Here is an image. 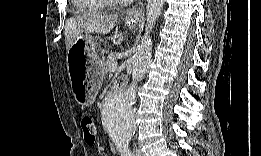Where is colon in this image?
Returning <instances> with one entry per match:
<instances>
[{
	"label": "colon",
	"mask_w": 261,
	"mask_h": 156,
	"mask_svg": "<svg viewBox=\"0 0 261 156\" xmlns=\"http://www.w3.org/2000/svg\"><path fill=\"white\" fill-rule=\"evenodd\" d=\"M80 125L83 132L84 141L87 145H93L96 141V124L93 117L89 114H84L80 118Z\"/></svg>",
	"instance_id": "1"
}]
</instances>
